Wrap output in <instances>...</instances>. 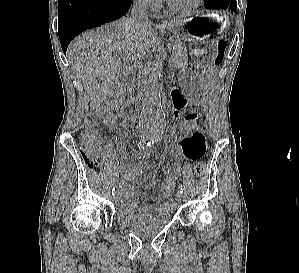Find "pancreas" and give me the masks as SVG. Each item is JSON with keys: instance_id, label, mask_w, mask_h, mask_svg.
Returning <instances> with one entry per match:
<instances>
[{"instance_id": "1", "label": "pancreas", "mask_w": 299, "mask_h": 273, "mask_svg": "<svg viewBox=\"0 0 299 273\" xmlns=\"http://www.w3.org/2000/svg\"><path fill=\"white\" fill-rule=\"evenodd\" d=\"M188 61V52L186 49V45L180 43L175 46L174 54L170 60V67L174 69H179L187 65Z\"/></svg>"}]
</instances>
